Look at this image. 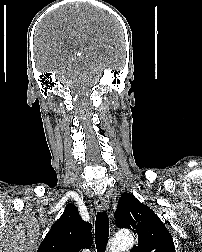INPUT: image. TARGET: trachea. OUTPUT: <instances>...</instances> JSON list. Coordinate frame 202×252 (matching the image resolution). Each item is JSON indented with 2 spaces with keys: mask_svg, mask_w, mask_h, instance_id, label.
Segmentation results:
<instances>
[{
  "mask_svg": "<svg viewBox=\"0 0 202 252\" xmlns=\"http://www.w3.org/2000/svg\"><path fill=\"white\" fill-rule=\"evenodd\" d=\"M109 237V219L106 211L98 212L95 221V243L97 252H103Z\"/></svg>",
  "mask_w": 202,
  "mask_h": 252,
  "instance_id": "trachea-1",
  "label": "trachea"
}]
</instances>
